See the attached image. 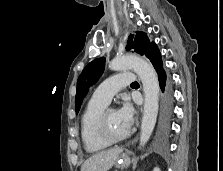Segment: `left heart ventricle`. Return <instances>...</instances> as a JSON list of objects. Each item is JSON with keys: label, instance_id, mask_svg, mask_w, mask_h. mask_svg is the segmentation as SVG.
Returning <instances> with one entry per match:
<instances>
[{"label": "left heart ventricle", "instance_id": "obj_1", "mask_svg": "<svg viewBox=\"0 0 223 171\" xmlns=\"http://www.w3.org/2000/svg\"><path fill=\"white\" fill-rule=\"evenodd\" d=\"M106 125L108 133L113 138H119L125 135L129 131L119 119L116 111L108 112Z\"/></svg>", "mask_w": 223, "mask_h": 171}]
</instances>
